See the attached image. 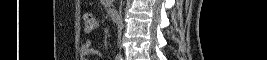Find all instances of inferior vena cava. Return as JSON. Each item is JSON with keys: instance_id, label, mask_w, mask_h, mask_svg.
Returning <instances> with one entry per match:
<instances>
[{"instance_id": "1", "label": "inferior vena cava", "mask_w": 267, "mask_h": 60, "mask_svg": "<svg viewBox=\"0 0 267 60\" xmlns=\"http://www.w3.org/2000/svg\"><path fill=\"white\" fill-rule=\"evenodd\" d=\"M122 27H123L122 21L119 20V22H118V29H119V30H118V33H119V36L121 35Z\"/></svg>"}]
</instances>
